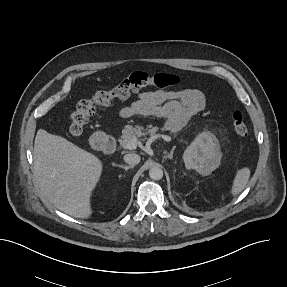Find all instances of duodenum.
<instances>
[{
  "label": "duodenum",
  "mask_w": 287,
  "mask_h": 287,
  "mask_svg": "<svg viewBox=\"0 0 287 287\" xmlns=\"http://www.w3.org/2000/svg\"><path fill=\"white\" fill-rule=\"evenodd\" d=\"M92 144L106 153H114L117 148V141L114 137L103 133H95L92 136Z\"/></svg>",
  "instance_id": "duodenum-1"
}]
</instances>
